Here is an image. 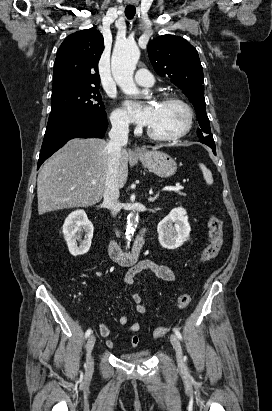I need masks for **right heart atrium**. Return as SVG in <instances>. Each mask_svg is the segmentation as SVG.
I'll return each mask as SVG.
<instances>
[{
    "label": "right heart atrium",
    "mask_w": 272,
    "mask_h": 411,
    "mask_svg": "<svg viewBox=\"0 0 272 411\" xmlns=\"http://www.w3.org/2000/svg\"><path fill=\"white\" fill-rule=\"evenodd\" d=\"M110 120L112 125L117 129H126L129 125V120L126 113L121 109H115L111 113Z\"/></svg>",
    "instance_id": "obj_1"
}]
</instances>
